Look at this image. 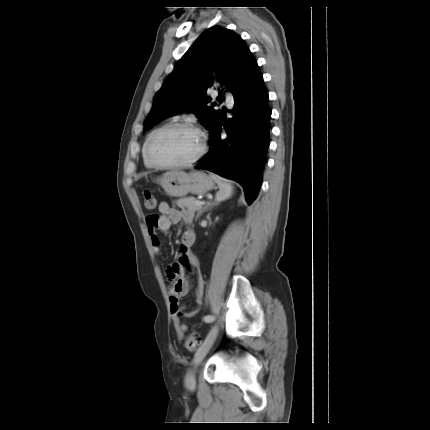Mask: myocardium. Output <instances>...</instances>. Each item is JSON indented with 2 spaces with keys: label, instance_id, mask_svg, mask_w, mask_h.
Masks as SVG:
<instances>
[{
  "label": "myocardium",
  "instance_id": "myocardium-1",
  "mask_svg": "<svg viewBox=\"0 0 430 430\" xmlns=\"http://www.w3.org/2000/svg\"><path fill=\"white\" fill-rule=\"evenodd\" d=\"M176 128H185V129H189V130L197 132L201 138L200 149L194 157H192L186 161L177 162V163H160L157 160H155L152 156V153H151L152 144H153L154 140L157 137H159L161 134H163L169 130L176 129ZM206 151H207V136H206V134L198 126H196L193 123L187 122V121H176V122L168 123V124L160 127L158 130H156L149 137V139L146 143V147H145V154H146L147 160L150 162V164H152L154 167L159 168V169H175V168H183V167L193 165L196 162H198L205 155Z\"/></svg>",
  "mask_w": 430,
  "mask_h": 430
}]
</instances>
